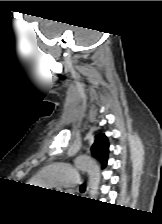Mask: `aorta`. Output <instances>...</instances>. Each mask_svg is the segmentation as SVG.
Instances as JSON below:
<instances>
[{
  "label": "aorta",
  "mask_w": 162,
  "mask_h": 224,
  "mask_svg": "<svg viewBox=\"0 0 162 224\" xmlns=\"http://www.w3.org/2000/svg\"><path fill=\"white\" fill-rule=\"evenodd\" d=\"M75 165L77 168L84 170L89 175L90 184V196L91 199L96 197L98 194V189L101 181V171L100 166L95 160L88 156H79L75 159Z\"/></svg>",
  "instance_id": "1"
}]
</instances>
